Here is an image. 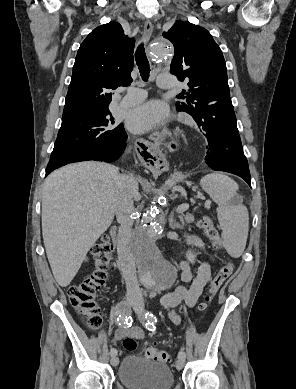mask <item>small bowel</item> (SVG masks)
Here are the masks:
<instances>
[{"label": "small bowel", "instance_id": "1", "mask_svg": "<svg viewBox=\"0 0 296 389\" xmlns=\"http://www.w3.org/2000/svg\"><path fill=\"white\" fill-rule=\"evenodd\" d=\"M187 242L190 245L199 248L202 247L201 240L196 236H189ZM180 269L183 284L163 296L161 300L162 307L169 310L168 317L174 325L180 324L181 317L172 309L181 303H184L188 307H194L201 296L204 287L209 282L212 272L211 265L207 261L202 262L199 265L195 276L192 274L190 265L186 261H181ZM125 336L142 339L144 337V332L138 326L124 325L116 331L114 339L118 341Z\"/></svg>", "mask_w": 296, "mask_h": 389}]
</instances>
